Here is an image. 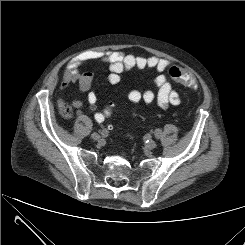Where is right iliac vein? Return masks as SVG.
<instances>
[{"instance_id": "1", "label": "right iliac vein", "mask_w": 245, "mask_h": 245, "mask_svg": "<svg viewBox=\"0 0 245 245\" xmlns=\"http://www.w3.org/2000/svg\"><path fill=\"white\" fill-rule=\"evenodd\" d=\"M92 139L95 140V141H99L101 139L100 135L97 134V133H93L91 135Z\"/></svg>"}]
</instances>
